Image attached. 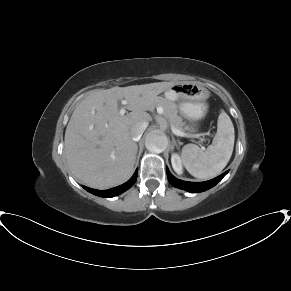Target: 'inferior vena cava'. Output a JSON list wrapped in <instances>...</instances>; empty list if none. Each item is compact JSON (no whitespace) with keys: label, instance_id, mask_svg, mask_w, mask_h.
Returning a JSON list of instances; mask_svg holds the SVG:
<instances>
[{"label":"inferior vena cava","instance_id":"obj_1","mask_svg":"<svg viewBox=\"0 0 291 291\" xmlns=\"http://www.w3.org/2000/svg\"><path fill=\"white\" fill-rule=\"evenodd\" d=\"M148 123L143 122V123H137L133 125L130 129V133L132 136L133 141H139L143 132L147 128Z\"/></svg>","mask_w":291,"mask_h":291}]
</instances>
